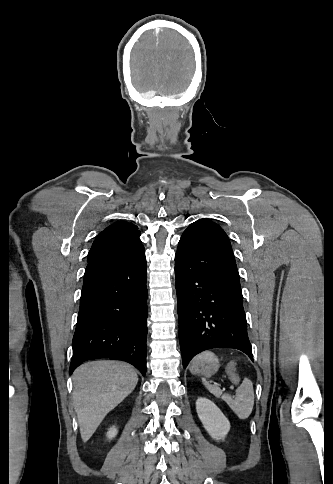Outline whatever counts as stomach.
Listing matches in <instances>:
<instances>
[{
  "mask_svg": "<svg viewBox=\"0 0 333 484\" xmlns=\"http://www.w3.org/2000/svg\"><path fill=\"white\" fill-rule=\"evenodd\" d=\"M220 367L219 360L212 352L205 351L191 362L190 371L193 374H201L207 378L215 374Z\"/></svg>",
  "mask_w": 333,
  "mask_h": 484,
  "instance_id": "obj_1",
  "label": "stomach"
}]
</instances>
